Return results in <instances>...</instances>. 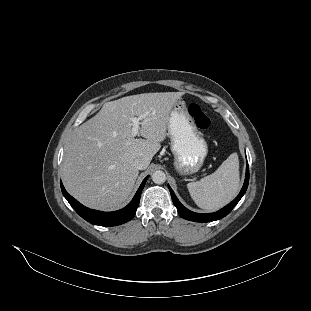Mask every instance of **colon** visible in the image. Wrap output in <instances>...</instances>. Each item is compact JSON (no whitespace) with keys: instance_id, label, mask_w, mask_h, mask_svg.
<instances>
[{"instance_id":"5ec220e1","label":"colon","mask_w":311,"mask_h":311,"mask_svg":"<svg viewBox=\"0 0 311 311\" xmlns=\"http://www.w3.org/2000/svg\"><path fill=\"white\" fill-rule=\"evenodd\" d=\"M188 114L199 129L206 131L210 128V118L197 103H190L188 105Z\"/></svg>"}]
</instances>
